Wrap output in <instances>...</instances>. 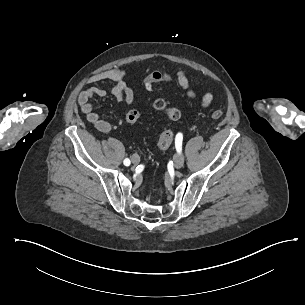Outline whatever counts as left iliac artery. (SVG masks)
I'll return each mask as SVG.
<instances>
[{"instance_id": "left-iliac-artery-1", "label": "left iliac artery", "mask_w": 305, "mask_h": 305, "mask_svg": "<svg viewBox=\"0 0 305 305\" xmlns=\"http://www.w3.org/2000/svg\"><path fill=\"white\" fill-rule=\"evenodd\" d=\"M182 134L178 133L175 139V146L178 152H180L182 150Z\"/></svg>"}]
</instances>
